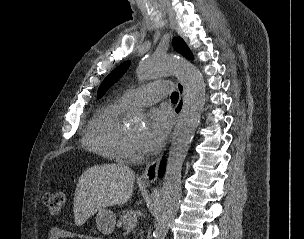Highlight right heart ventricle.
I'll return each instance as SVG.
<instances>
[{
  "mask_svg": "<svg viewBox=\"0 0 304 239\" xmlns=\"http://www.w3.org/2000/svg\"><path fill=\"white\" fill-rule=\"evenodd\" d=\"M127 109L129 106L121 100L110 102L99 109L86 126L84 147L107 160L121 161L125 133L121 118Z\"/></svg>",
  "mask_w": 304,
  "mask_h": 239,
  "instance_id": "e07e8e85",
  "label": "right heart ventricle"
}]
</instances>
